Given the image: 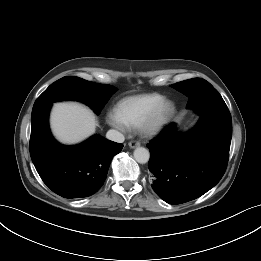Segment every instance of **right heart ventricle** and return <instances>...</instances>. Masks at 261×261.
<instances>
[{"mask_svg": "<svg viewBox=\"0 0 261 261\" xmlns=\"http://www.w3.org/2000/svg\"><path fill=\"white\" fill-rule=\"evenodd\" d=\"M163 99L158 93L129 96L115 105V113L129 127H137L155 105Z\"/></svg>", "mask_w": 261, "mask_h": 261, "instance_id": "e07e8e85", "label": "right heart ventricle"}]
</instances>
